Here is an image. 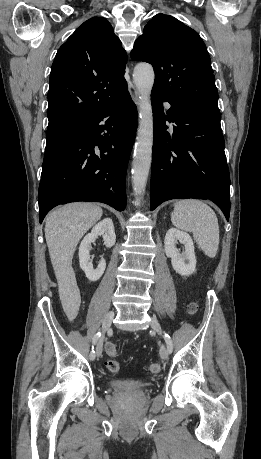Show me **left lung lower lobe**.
Masks as SVG:
<instances>
[{
  "label": "left lung lower lobe",
  "mask_w": 261,
  "mask_h": 459,
  "mask_svg": "<svg viewBox=\"0 0 261 459\" xmlns=\"http://www.w3.org/2000/svg\"><path fill=\"white\" fill-rule=\"evenodd\" d=\"M171 108L164 115L162 102ZM154 138L150 206L170 199L212 200L230 214V176L218 112L179 106L152 92ZM173 122V132L165 122Z\"/></svg>",
  "instance_id": "1"
}]
</instances>
